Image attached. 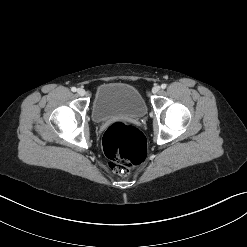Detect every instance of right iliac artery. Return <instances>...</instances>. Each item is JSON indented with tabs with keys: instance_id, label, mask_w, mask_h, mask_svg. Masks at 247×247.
<instances>
[{
	"instance_id": "82829eb1",
	"label": "right iliac artery",
	"mask_w": 247,
	"mask_h": 247,
	"mask_svg": "<svg viewBox=\"0 0 247 247\" xmlns=\"http://www.w3.org/2000/svg\"><path fill=\"white\" fill-rule=\"evenodd\" d=\"M76 90H77L76 87H72V88H71V91H72V92H76Z\"/></svg>"
}]
</instances>
